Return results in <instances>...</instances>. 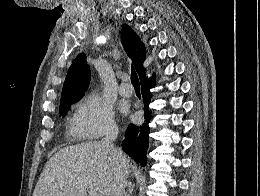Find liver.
Returning <instances> with one entry per match:
<instances>
[{
	"label": "liver",
	"mask_w": 260,
	"mask_h": 196,
	"mask_svg": "<svg viewBox=\"0 0 260 196\" xmlns=\"http://www.w3.org/2000/svg\"><path fill=\"white\" fill-rule=\"evenodd\" d=\"M118 154L125 156L120 148ZM120 164L100 142H85L62 148L47 162L33 196H87L88 190L112 196ZM122 174L128 176L129 160Z\"/></svg>",
	"instance_id": "obj_1"
}]
</instances>
